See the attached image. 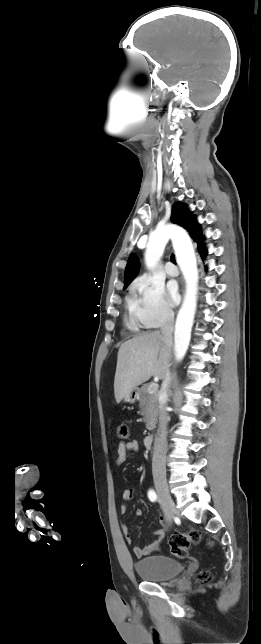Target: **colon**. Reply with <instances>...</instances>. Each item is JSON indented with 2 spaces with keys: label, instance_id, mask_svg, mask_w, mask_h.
Masks as SVG:
<instances>
[{
  "label": "colon",
  "instance_id": "colon-1",
  "mask_svg": "<svg viewBox=\"0 0 261 644\" xmlns=\"http://www.w3.org/2000/svg\"><path fill=\"white\" fill-rule=\"evenodd\" d=\"M117 436L122 440L129 438V427L126 423L119 424L117 428ZM202 540V535L197 530H191L187 533L174 532L170 535L169 546L171 552L180 558L186 557L191 545L198 544ZM210 580L209 572L205 571L200 574V583H206Z\"/></svg>",
  "mask_w": 261,
  "mask_h": 644
}]
</instances>
